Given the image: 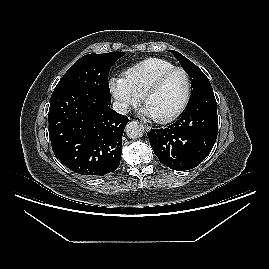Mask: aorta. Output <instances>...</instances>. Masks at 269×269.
Returning <instances> with one entry per match:
<instances>
[{
    "label": "aorta",
    "instance_id": "1",
    "mask_svg": "<svg viewBox=\"0 0 269 269\" xmlns=\"http://www.w3.org/2000/svg\"><path fill=\"white\" fill-rule=\"evenodd\" d=\"M126 134L131 139H137L143 136L144 127L137 121L129 122L126 125Z\"/></svg>",
    "mask_w": 269,
    "mask_h": 269
}]
</instances>
